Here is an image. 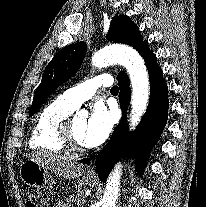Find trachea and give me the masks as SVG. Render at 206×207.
Masks as SVG:
<instances>
[{"mask_svg": "<svg viewBox=\"0 0 206 207\" xmlns=\"http://www.w3.org/2000/svg\"><path fill=\"white\" fill-rule=\"evenodd\" d=\"M110 91L111 93H118L119 88L117 86H113Z\"/></svg>", "mask_w": 206, "mask_h": 207, "instance_id": "obj_1", "label": "trachea"}]
</instances>
